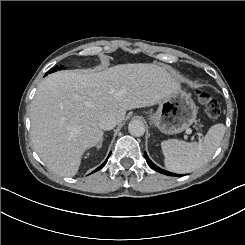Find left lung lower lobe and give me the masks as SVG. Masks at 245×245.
I'll return each instance as SVG.
<instances>
[{
	"instance_id": "obj_1",
	"label": "left lung lower lobe",
	"mask_w": 245,
	"mask_h": 245,
	"mask_svg": "<svg viewBox=\"0 0 245 245\" xmlns=\"http://www.w3.org/2000/svg\"><path fill=\"white\" fill-rule=\"evenodd\" d=\"M144 156H145V159L148 163V165L154 169L155 171L159 172V173H162V174H165V175H169V176H182L181 174H175V173H171V172H168L166 170H163L161 169L160 167L156 166L150 159L149 157L147 156L146 152H144Z\"/></svg>"
}]
</instances>
